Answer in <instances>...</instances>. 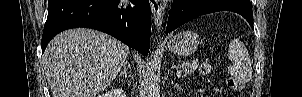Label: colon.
<instances>
[{"label":"colon","instance_id":"colon-1","mask_svg":"<svg viewBox=\"0 0 302 97\" xmlns=\"http://www.w3.org/2000/svg\"><path fill=\"white\" fill-rule=\"evenodd\" d=\"M199 73L203 76L210 75L212 73V64L209 61L202 62L199 66ZM228 86L235 91H240L244 87L242 82L235 79H229Z\"/></svg>","mask_w":302,"mask_h":97}]
</instances>
